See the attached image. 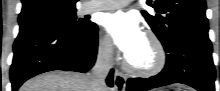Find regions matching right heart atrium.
I'll list each match as a JSON object with an SVG mask.
<instances>
[{"label":"right heart atrium","instance_id":"1","mask_svg":"<svg viewBox=\"0 0 220 91\" xmlns=\"http://www.w3.org/2000/svg\"><path fill=\"white\" fill-rule=\"evenodd\" d=\"M97 50L99 57L104 61H111L114 55V48L111 40L105 36L101 35L97 42Z\"/></svg>","mask_w":220,"mask_h":91}]
</instances>
